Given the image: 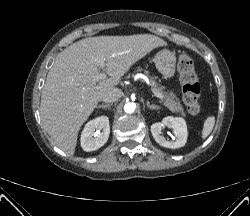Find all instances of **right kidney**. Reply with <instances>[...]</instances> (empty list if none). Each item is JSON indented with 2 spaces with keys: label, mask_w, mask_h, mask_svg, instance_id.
I'll return each instance as SVG.
<instances>
[{
  "label": "right kidney",
  "mask_w": 250,
  "mask_h": 216,
  "mask_svg": "<svg viewBox=\"0 0 250 216\" xmlns=\"http://www.w3.org/2000/svg\"><path fill=\"white\" fill-rule=\"evenodd\" d=\"M109 134V118H95L85 125L81 133V147L86 152L97 150L107 142Z\"/></svg>",
  "instance_id": "obj_1"
}]
</instances>
